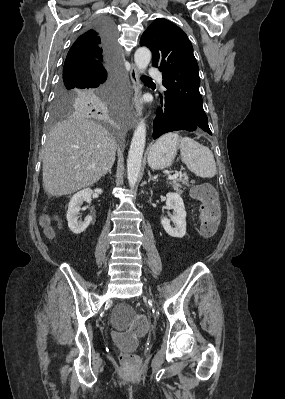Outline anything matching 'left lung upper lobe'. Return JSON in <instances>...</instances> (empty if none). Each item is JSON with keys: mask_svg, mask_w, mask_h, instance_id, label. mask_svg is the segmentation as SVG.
Segmentation results:
<instances>
[{"mask_svg": "<svg viewBox=\"0 0 285 399\" xmlns=\"http://www.w3.org/2000/svg\"><path fill=\"white\" fill-rule=\"evenodd\" d=\"M140 45L152 51V65L162 72L167 89L164 98L172 99L203 131L211 133L199 92L198 64L185 32L172 22L157 18L143 33Z\"/></svg>", "mask_w": 285, "mask_h": 399, "instance_id": "obj_1", "label": "left lung upper lobe"}]
</instances>
